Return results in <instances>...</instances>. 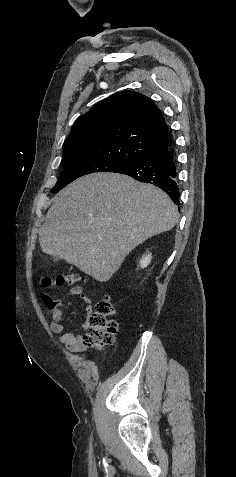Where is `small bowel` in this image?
Here are the masks:
<instances>
[{"label": "small bowel", "instance_id": "c3829d8e", "mask_svg": "<svg viewBox=\"0 0 236 477\" xmlns=\"http://www.w3.org/2000/svg\"><path fill=\"white\" fill-rule=\"evenodd\" d=\"M79 296L82 302L86 306L87 318L82 325L83 332L79 334H73L70 332L62 333L60 335V342L64 344L71 352L80 353L86 349V344L84 343L85 330L87 329V320L88 317L93 313V305L91 300L84 295L80 289H72L64 298L62 299H52L48 296H43V302L45 306L51 313L52 322L51 329L55 333H61L64 328V318L61 311V308L71 297Z\"/></svg>", "mask_w": 236, "mask_h": 477}]
</instances>
